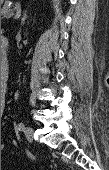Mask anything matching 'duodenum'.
<instances>
[{
  "mask_svg": "<svg viewBox=\"0 0 109 170\" xmlns=\"http://www.w3.org/2000/svg\"><path fill=\"white\" fill-rule=\"evenodd\" d=\"M7 47H8V40L6 38L1 39V52L3 54V61L6 62L7 60Z\"/></svg>",
  "mask_w": 109,
  "mask_h": 170,
  "instance_id": "duodenum-1",
  "label": "duodenum"
}]
</instances>
